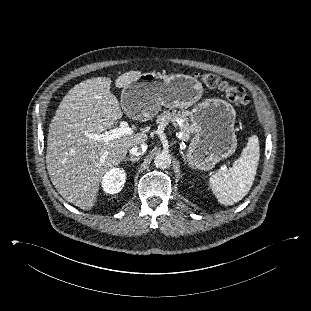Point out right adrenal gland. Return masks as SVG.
I'll return each instance as SVG.
<instances>
[{"label": "right adrenal gland", "mask_w": 311, "mask_h": 311, "mask_svg": "<svg viewBox=\"0 0 311 311\" xmlns=\"http://www.w3.org/2000/svg\"><path fill=\"white\" fill-rule=\"evenodd\" d=\"M129 160H130L132 163L138 162V161L140 160V157H133V156H131V157H128V158L124 159V162H127V161H129Z\"/></svg>", "instance_id": "right-adrenal-gland-1"}]
</instances>
